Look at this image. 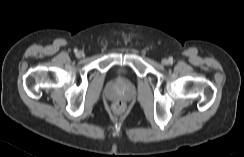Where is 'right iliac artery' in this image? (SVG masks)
I'll list each match as a JSON object with an SVG mask.
<instances>
[{"label": "right iliac artery", "instance_id": "82829eb1", "mask_svg": "<svg viewBox=\"0 0 244 157\" xmlns=\"http://www.w3.org/2000/svg\"><path fill=\"white\" fill-rule=\"evenodd\" d=\"M74 52L77 54L78 53V50L77 49H74Z\"/></svg>", "mask_w": 244, "mask_h": 157}]
</instances>
